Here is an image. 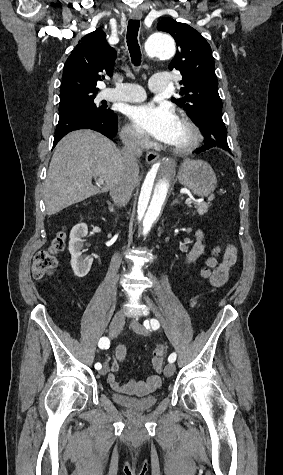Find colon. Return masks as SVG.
Returning a JSON list of instances; mask_svg holds the SVG:
<instances>
[{
    "label": "colon",
    "mask_w": 283,
    "mask_h": 475,
    "mask_svg": "<svg viewBox=\"0 0 283 475\" xmlns=\"http://www.w3.org/2000/svg\"><path fill=\"white\" fill-rule=\"evenodd\" d=\"M64 246L65 237L63 234H60L49 247L36 251L34 255V276L36 278H44L51 274L56 263V255L62 252ZM217 253L218 248H215L213 253L205 259L202 269V276L204 278L213 275V270L218 264ZM151 362L154 366H161L164 363V350L162 348L157 347L153 350Z\"/></svg>",
    "instance_id": "1"
}]
</instances>
